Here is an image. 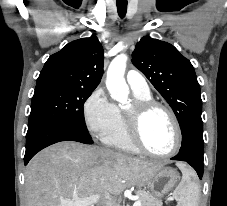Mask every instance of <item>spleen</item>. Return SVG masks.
Listing matches in <instances>:
<instances>
[{
    "label": "spleen",
    "instance_id": "obj_1",
    "mask_svg": "<svg viewBox=\"0 0 227 206\" xmlns=\"http://www.w3.org/2000/svg\"><path fill=\"white\" fill-rule=\"evenodd\" d=\"M182 171V181L174 191V197L180 206H198L200 188L197 183L191 180L193 172L185 167H180Z\"/></svg>",
    "mask_w": 227,
    "mask_h": 206
}]
</instances>
